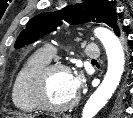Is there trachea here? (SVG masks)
Returning <instances> with one entry per match:
<instances>
[{"instance_id":"3493384b","label":"trachea","mask_w":133,"mask_h":118,"mask_svg":"<svg viewBox=\"0 0 133 118\" xmlns=\"http://www.w3.org/2000/svg\"><path fill=\"white\" fill-rule=\"evenodd\" d=\"M92 62H97V60H92Z\"/></svg>"}]
</instances>
